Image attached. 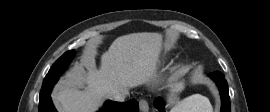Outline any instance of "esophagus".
Masks as SVG:
<instances>
[{
  "instance_id": "esophagus-1",
  "label": "esophagus",
  "mask_w": 270,
  "mask_h": 112,
  "mask_svg": "<svg viewBox=\"0 0 270 112\" xmlns=\"http://www.w3.org/2000/svg\"><path fill=\"white\" fill-rule=\"evenodd\" d=\"M139 109L141 112H148V110H149L148 102L144 99H141L139 101Z\"/></svg>"
}]
</instances>
